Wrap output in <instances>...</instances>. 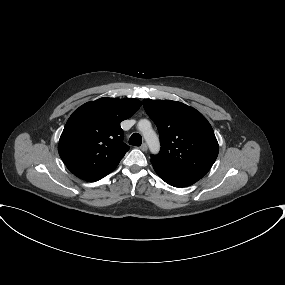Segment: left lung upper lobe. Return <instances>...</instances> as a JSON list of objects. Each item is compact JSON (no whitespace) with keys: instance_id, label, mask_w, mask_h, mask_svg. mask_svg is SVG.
<instances>
[{"instance_id":"left-lung-upper-lobe-1","label":"left lung upper lobe","mask_w":285,"mask_h":285,"mask_svg":"<svg viewBox=\"0 0 285 285\" xmlns=\"http://www.w3.org/2000/svg\"><path fill=\"white\" fill-rule=\"evenodd\" d=\"M143 106L160 136L161 150L151 158L169 167L205 175L219 151L207 119L196 109L177 101L144 99Z\"/></svg>"}]
</instances>
